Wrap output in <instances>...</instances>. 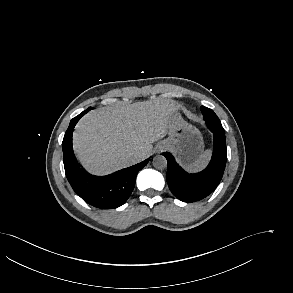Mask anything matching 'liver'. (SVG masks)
<instances>
[{"label": "liver", "instance_id": "1", "mask_svg": "<svg viewBox=\"0 0 293 293\" xmlns=\"http://www.w3.org/2000/svg\"><path fill=\"white\" fill-rule=\"evenodd\" d=\"M178 105L166 100L116 103L95 109L77 124L73 146L83 166L103 175L131 166L152 153V143L168 133ZM135 154L141 159L136 161Z\"/></svg>", "mask_w": 293, "mask_h": 293}]
</instances>
